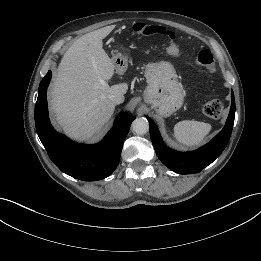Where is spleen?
<instances>
[{
    "label": "spleen",
    "instance_id": "1",
    "mask_svg": "<svg viewBox=\"0 0 261 261\" xmlns=\"http://www.w3.org/2000/svg\"><path fill=\"white\" fill-rule=\"evenodd\" d=\"M211 129L212 126L208 123L183 120L174 126V134L179 143L192 147L199 145Z\"/></svg>",
    "mask_w": 261,
    "mask_h": 261
}]
</instances>
